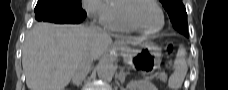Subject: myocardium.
<instances>
[{
    "label": "myocardium",
    "mask_w": 228,
    "mask_h": 90,
    "mask_svg": "<svg viewBox=\"0 0 228 90\" xmlns=\"http://www.w3.org/2000/svg\"><path fill=\"white\" fill-rule=\"evenodd\" d=\"M142 1H149L150 3H152L160 12L161 15V25L159 28L155 29V30H148L145 29L143 27H141L131 16V10L135 7V5L139 2ZM122 18L123 20L132 28H134L137 31H140L142 33H146V34H153V33H157L160 32L164 26H165V15H164V11L163 9L160 7V5L158 4L157 1L155 0H128L127 3L122 7Z\"/></svg>",
    "instance_id": "obj_1"
}]
</instances>
